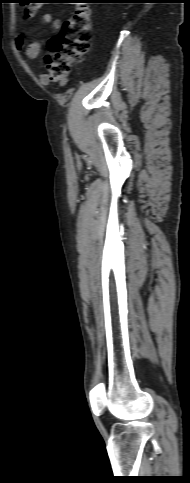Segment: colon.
<instances>
[{"mask_svg":"<svg viewBox=\"0 0 190 483\" xmlns=\"http://www.w3.org/2000/svg\"><path fill=\"white\" fill-rule=\"evenodd\" d=\"M22 14L34 17L40 7L38 0L25 1ZM92 37V15L88 7L82 6L64 22L58 34L48 42L49 52L45 56L46 72L50 80L65 82L72 66L81 63L90 48Z\"/></svg>","mask_w":190,"mask_h":483,"instance_id":"obj_1","label":"colon"}]
</instances>
